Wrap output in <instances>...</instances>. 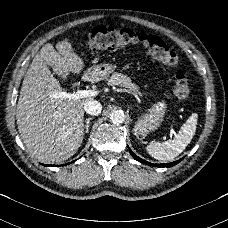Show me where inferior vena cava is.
<instances>
[{
  "mask_svg": "<svg viewBox=\"0 0 228 228\" xmlns=\"http://www.w3.org/2000/svg\"><path fill=\"white\" fill-rule=\"evenodd\" d=\"M84 110L91 116H97L102 112V104L94 99H89L85 103Z\"/></svg>",
  "mask_w": 228,
  "mask_h": 228,
  "instance_id": "1",
  "label": "inferior vena cava"
}]
</instances>
